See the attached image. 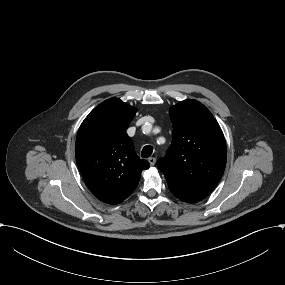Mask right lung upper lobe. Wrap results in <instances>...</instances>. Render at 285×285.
I'll use <instances>...</instances> for the list:
<instances>
[{
    "instance_id": "right-lung-upper-lobe-1",
    "label": "right lung upper lobe",
    "mask_w": 285,
    "mask_h": 285,
    "mask_svg": "<svg viewBox=\"0 0 285 285\" xmlns=\"http://www.w3.org/2000/svg\"><path fill=\"white\" fill-rule=\"evenodd\" d=\"M136 111L118 98L108 99L85 118L77 133L75 155L83 179L108 204L124 201L150 166L136 155L126 134Z\"/></svg>"
}]
</instances>
